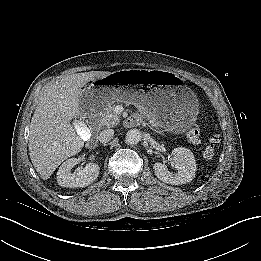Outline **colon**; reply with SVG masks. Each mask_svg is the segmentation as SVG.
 <instances>
[{"label": "colon", "instance_id": "1", "mask_svg": "<svg viewBox=\"0 0 261 261\" xmlns=\"http://www.w3.org/2000/svg\"><path fill=\"white\" fill-rule=\"evenodd\" d=\"M200 130L197 127H192L187 134L188 141L192 144H198L200 142ZM219 142V133L216 130H210L207 133V139L202 150V156L206 159H210L215 155L216 148Z\"/></svg>", "mask_w": 261, "mask_h": 261}]
</instances>
